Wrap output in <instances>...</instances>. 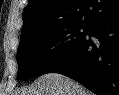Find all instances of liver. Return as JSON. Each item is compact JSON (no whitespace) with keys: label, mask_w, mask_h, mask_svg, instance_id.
Returning <instances> with one entry per match:
<instances>
[{"label":"liver","mask_w":119,"mask_h":95,"mask_svg":"<svg viewBox=\"0 0 119 95\" xmlns=\"http://www.w3.org/2000/svg\"><path fill=\"white\" fill-rule=\"evenodd\" d=\"M16 95H93L78 82L58 74L48 73L38 77L28 88Z\"/></svg>","instance_id":"liver-1"}]
</instances>
